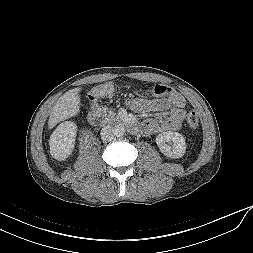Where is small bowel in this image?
<instances>
[{
  "instance_id": "obj_1",
  "label": "small bowel",
  "mask_w": 253,
  "mask_h": 253,
  "mask_svg": "<svg viewBox=\"0 0 253 253\" xmlns=\"http://www.w3.org/2000/svg\"><path fill=\"white\" fill-rule=\"evenodd\" d=\"M128 105L132 111L137 113L152 111L168 113V117L164 120L147 119L142 123V130L147 135L178 130L185 118V99L176 91L158 96V98L153 100L135 98L130 100Z\"/></svg>"
}]
</instances>
